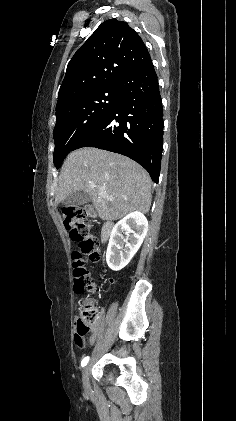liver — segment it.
<instances>
[{
    "mask_svg": "<svg viewBox=\"0 0 236 421\" xmlns=\"http://www.w3.org/2000/svg\"><path fill=\"white\" fill-rule=\"evenodd\" d=\"M90 184H96L95 188H90ZM151 184L147 170L128 156L83 146L64 160L55 202L58 204L76 190H85L102 221H118L134 211L148 213ZM109 194H115V198H105Z\"/></svg>",
    "mask_w": 236,
    "mask_h": 421,
    "instance_id": "6515ba94",
    "label": "liver"
}]
</instances>
